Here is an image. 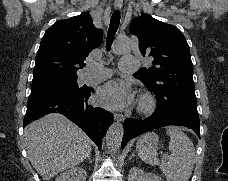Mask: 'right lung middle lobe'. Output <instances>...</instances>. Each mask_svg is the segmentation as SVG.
I'll return each instance as SVG.
<instances>
[{
  "label": "right lung middle lobe",
  "instance_id": "right-lung-middle-lobe-1",
  "mask_svg": "<svg viewBox=\"0 0 228 181\" xmlns=\"http://www.w3.org/2000/svg\"><path fill=\"white\" fill-rule=\"evenodd\" d=\"M77 78V76H66L32 80L31 89L44 86H57L78 92L80 91V88L77 84Z\"/></svg>",
  "mask_w": 228,
  "mask_h": 181
}]
</instances>
